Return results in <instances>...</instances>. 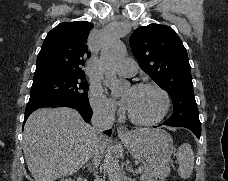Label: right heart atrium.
Segmentation results:
<instances>
[{
	"label": "right heart atrium",
	"instance_id": "right-heart-atrium-1",
	"mask_svg": "<svg viewBox=\"0 0 228 181\" xmlns=\"http://www.w3.org/2000/svg\"><path fill=\"white\" fill-rule=\"evenodd\" d=\"M91 104L97 113L105 117H111L115 112L113 102L106 96L99 85H95L91 89Z\"/></svg>",
	"mask_w": 228,
	"mask_h": 181
}]
</instances>
